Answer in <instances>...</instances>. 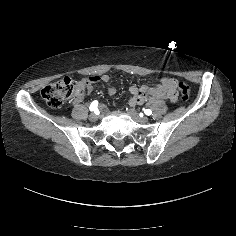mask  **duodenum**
<instances>
[{
  "label": "duodenum",
  "instance_id": "duodenum-1",
  "mask_svg": "<svg viewBox=\"0 0 236 236\" xmlns=\"http://www.w3.org/2000/svg\"><path fill=\"white\" fill-rule=\"evenodd\" d=\"M140 93L134 95V99H137L139 97ZM159 99H167V100H173L174 99V93L173 89L171 87V84L169 82L163 83V85L157 89L155 92L152 93L151 97L149 98V102L152 103Z\"/></svg>",
  "mask_w": 236,
  "mask_h": 236
}]
</instances>
